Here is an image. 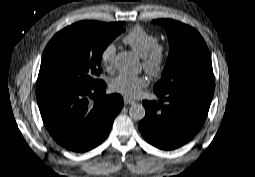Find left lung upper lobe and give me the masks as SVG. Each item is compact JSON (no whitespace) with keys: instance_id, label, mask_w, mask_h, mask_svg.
<instances>
[{"instance_id":"obj_1","label":"left lung upper lobe","mask_w":255,"mask_h":177,"mask_svg":"<svg viewBox=\"0 0 255 177\" xmlns=\"http://www.w3.org/2000/svg\"><path fill=\"white\" fill-rule=\"evenodd\" d=\"M169 37V57L154 91L167 93L179 87L214 84L211 57L202 36L194 28L170 19H157Z\"/></svg>"}]
</instances>
